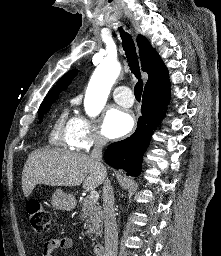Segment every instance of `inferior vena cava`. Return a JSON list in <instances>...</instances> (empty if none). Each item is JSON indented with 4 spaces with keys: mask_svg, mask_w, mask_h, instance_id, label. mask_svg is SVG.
Masks as SVG:
<instances>
[{
    "mask_svg": "<svg viewBox=\"0 0 221 256\" xmlns=\"http://www.w3.org/2000/svg\"><path fill=\"white\" fill-rule=\"evenodd\" d=\"M106 144L104 137L98 135L94 140V148L91 157L95 164L102 171L103 175V208H104V226H105V255L117 256L118 232L115 217V198L110 180L106 177L107 172L103 164L102 148Z\"/></svg>",
    "mask_w": 221,
    "mask_h": 256,
    "instance_id": "1",
    "label": "inferior vena cava"
}]
</instances>
